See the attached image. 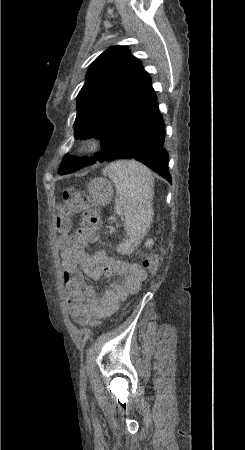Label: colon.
Wrapping results in <instances>:
<instances>
[{
    "mask_svg": "<svg viewBox=\"0 0 245 450\" xmlns=\"http://www.w3.org/2000/svg\"><path fill=\"white\" fill-rule=\"evenodd\" d=\"M72 214L81 215V224L75 232L70 233ZM55 224L60 247L78 252L88 244L97 242L101 228L96 204L86 193L73 188L63 190L61 201L57 205ZM158 265L159 258L156 255L142 261V267L149 275L156 273Z\"/></svg>",
    "mask_w": 245,
    "mask_h": 450,
    "instance_id": "colon-1",
    "label": "colon"
}]
</instances>
